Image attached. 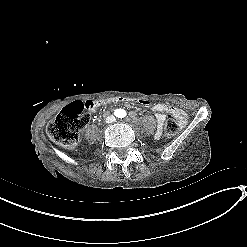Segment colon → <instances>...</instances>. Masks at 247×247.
Listing matches in <instances>:
<instances>
[{
	"instance_id": "colon-1",
	"label": "colon",
	"mask_w": 247,
	"mask_h": 247,
	"mask_svg": "<svg viewBox=\"0 0 247 247\" xmlns=\"http://www.w3.org/2000/svg\"><path fill=\"white\" fill-rule=\"evenodd\" d=\"M151 99L140 101L134 96L109 95L89 100L85 103L75 102L65 107L47 127L48 137L64 147H71L77 144L81 129L89 122L86 113L100 108L110 106H126L137 108L151 106ZM178 130V123L168 114L165 124V133L173 136Z\"/></svg>"
}]
</instances>
